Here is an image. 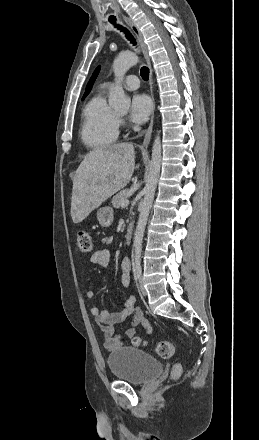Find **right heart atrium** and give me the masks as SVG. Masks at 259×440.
Returning a JSON list of instances; mask_svg holds the SVG:
<instances>
[{
  "mask_svg": "<svg viewBox=\"0 0 259 440\" xmlns=\"http://www.w3.org/2000/svg\"><path fill=\"white\" fill-rule=\"evenodd\" d=\"M118 121H119V123H122V122H123L122 119H119Z\"/></svg>",
  "mask_w": 259,
  "mask_h": 440,
  "instance_id": "d8ad5b80",
  "label": "right heart atrium"
}]
</instances>
